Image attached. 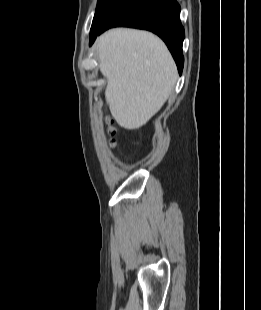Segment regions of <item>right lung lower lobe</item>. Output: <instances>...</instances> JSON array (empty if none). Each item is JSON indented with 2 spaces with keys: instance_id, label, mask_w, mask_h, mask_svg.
I'll return each mask as SVG.
<instances>
[{
  "instance_id": "1",
  "label": "right lung lower lobe",
  "mask_w": 261,
  "mask_h": 310,
  "mask_svg": "<svg viewBox=\"0 0 261 310\" xmlns=\"http://www.w3.org/2000/svg\"><path fill=\"white\" fill-rule=\"evenodd\" d=\"M116 26L146 29L160 36L170 50L181 74L184 64V28L176 0H129L101 26L90 31V45L97 35Z\"/></svg>"
}]
</instances>
